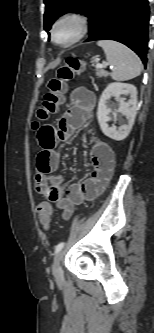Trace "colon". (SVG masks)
Masks as SVG:
<instances>
[{
  "label": "colon",
  "mask_w": 154,
  "mask_h": 333,
  "mask_svg": "<svg viewBox=\"0 0 154 333\" xmlns=\"http://www.w3.org/2000/svg\"><path fill=\"white\" fill-rule=\"evenodd\" d=\"M83 69V62L74 57L68 58L65 64L58 68L56 75L48 81V90L42 104L36 111V120L33 122L35 129L40 127L41 122L48 120L58 112L64 101L68 82L81 73ZM36 211L43 228H49L53 216L52 205L47 201L41 202L37 205Z\"/></svg>",
  "instance_id": "colon-1"
}]
</instances>
